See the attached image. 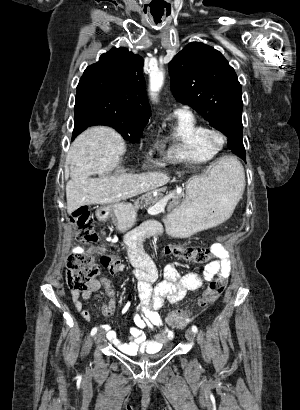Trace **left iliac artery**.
<instances>
[{
    "label": "left iliac artery",
    "instance_id": "left-iliac-artery-1",
    "mask_svg": "<svg viewBox=\"0 0 300 410\" xmlns=\"http://www.w3.org/2000/svg\"><path fill=\"white\" fill-rule=\"evenodd\" d=\"M192 331H193L194 333H197L198 329H197V327H196L195 325L192 326Z\"/></svg>",
    "mask_w": 300,
    "mask_h": 410
}]
</instances>
